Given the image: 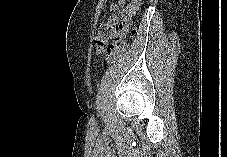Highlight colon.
<instances>
[{"mask_svg": "<svg viewBox=\"0 0 227 157\" xmlns=\"http://www.w3.org/2000/svg\"><path fill=\"white\" fill-rule=\"evenodd\" d=\"M118 14L119 8L112 11L109 19L98 26V33L94 39L97 54L107 55L108 64L114 63L128 46L127 41L119 37L122 25L117 23ZM112 39H115L116 42L113 46H110L109 41Z\"/></svg>", "mask_w": 227, "mask_h": 157, "instance_id": "colon-1", "label": "colon"}]
</instances>
